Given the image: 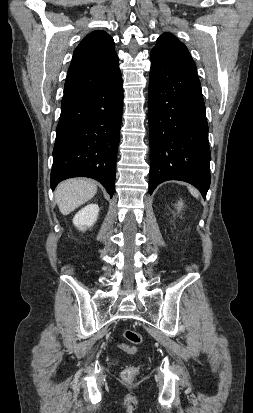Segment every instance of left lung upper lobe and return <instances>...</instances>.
<instances>
[{
    "label": "left lung upper lobe",
    "instance_id": "obj_1",
    "mask_svg": "<svg viewBox=\"0 0 253 413\" xmlns=\"http://www.w3.org/2000/svg\"><path fill=\"white\" fill-rule=\"evenodd\" d=\"M152 52H157L170 63L181 68L198 79L196 65L187 49L174 35L164 33L157 39Z\"/></svg>",
    "mask_w": 253,
    "mask_h": 413
}]
</instances>
